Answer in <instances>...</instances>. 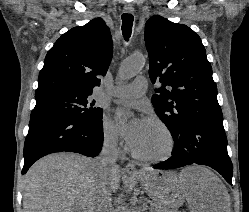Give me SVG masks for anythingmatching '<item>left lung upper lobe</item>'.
Here are the masks:
<instances>
[{
    "label": "left lung upper lobe",
    "mask_w": 249,
    "mask_h": 212,
    "mask_svg": "<svg viewBox=\"0 0 249 212\" xmlns=\"http://www.w3.org/2000/svg\"><path fill=\"white\" fill-rule=\"evenodd\" d=\"M144 37L151 82L162 83L152 104L170 132L177 136L185 122L223 120L200 37L188 26L158 15L146 22Z\"/></svg>",
    "instance_id": "obj_1"
}]
</instances>
